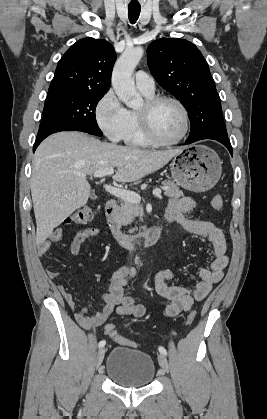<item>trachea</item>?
I'll list each match as a JSON object with an SVG mask.
<instances>
[{
	"label": "trachea",
	"mask_w": 267,
	"mask_h": 419,
	"mask_svg": "<svg viewBox=\"0 0 267 419\" xmlns=\"http://www.w3.org/2000/svg\"><path fill=\"white\" fill-rule=\"evenodd\" d=\"M140 10H141L140 6H135V7L129 6L128 7V17H129V20L132 24H134L137 21V19L139 18Z\"/></svg>",
	"instance_id": "1"
}]
</instances>
